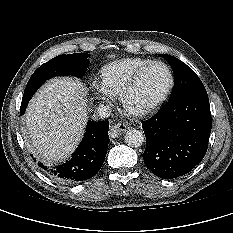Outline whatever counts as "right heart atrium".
Returning <instances> with one entry per match:
<instances>
[{"label":"right heart atrium","mask_w":233,"mask_h":233,"mask_svg":"<svg viewBox=\"0 0 233 233\" xmlns=\"http://www.w3.org/2000/svg\"><path fill=\"white\" fill-rule=\"evenodd\" d=\"M92 98L100 103L110 104L114 101V96L108 93L100 85L95 86V91L92 94Z\"/></svg>","instance_id":"d8ad5b80"}]
</instances>
